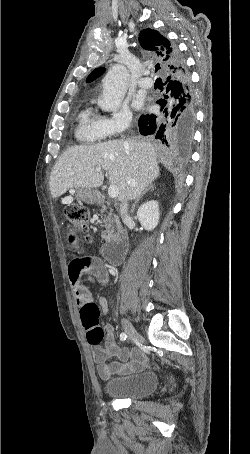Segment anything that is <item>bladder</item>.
Listing matches in <instances>:
<instances>
[{
    "mask_svg": "<svg viewBox=\"0 0 250 454\" xmlns=\"http://www.w3.org/2000/svg\"><path fill=\"white\" fill-rule=\"evenodd\" d=\"M159 386V375L147 370L118 378L109 379L104 384L107 396L117 399L137 400L149 396Z\"/></svg>",
    "mask_w": 250,
    "mask_h": 454,
    "instance_id": "31cf9c89",
    "label": "bladder"
}]
</instances>
